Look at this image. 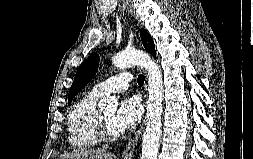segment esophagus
<instances>
[{
    "mask_svg": "<svg viewBox=\"0 0 253 159\" xmlns=\"http://www.w3.org/2000/svg\"><path fill=\"white\" fill-rule=\"evenodd\" d=\"M145 119H143V124H144ZM143 132V126H141L135 135L129 140L128 144L126 145L122 155L121 159H132L134 152H135V147L138 143L139 138L141 137Z\"/></svg>",
    "mask_w": 253,
    "mask_h": 159,
    "instance_id": "esophagus-1",
    "label": "esophagus"
}]
</instances>
